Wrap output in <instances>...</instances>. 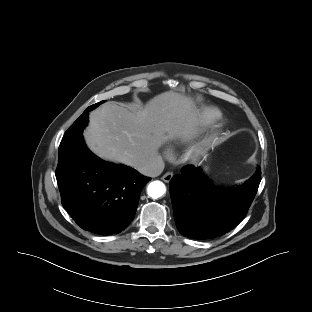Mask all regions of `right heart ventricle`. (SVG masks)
<instances>
[{
  "instance_id": "right-heart-ventricle-1",
  "label": "right heart ventricle",
  "mask_w": 312,
  "mask_h": 312,
  "mask_svg": "<svg viewBox=\"0 0 312 312\" xmlns=\"http://www.w3.org/2000/svg\"><path fill=\"white\" fill-rule=\"evenodd\" d=\"M221 120L222 114L220 111L216 109H206L200 114L196 122L184 131L182 137L189 138L201 128L215 125Z\"/></svg>"
}]
</instances>
